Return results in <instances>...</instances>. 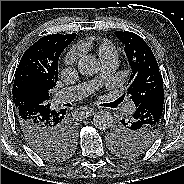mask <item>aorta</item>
<instances>
[{"instance_id":"1","label":"aorta","mask_w":184,"mask_h":184,"mask_svg":"<svg viewBox=\"0 0 184 184\" xmlns=\"http://www.w3.org/2000/svg\"><path fill=\"white\" fill-rule=\"evenodd\" d=\"M78 70L84 76H92L100 70V64L93 55L83 56L78 61ZM93 124L97 129L107 130L113 124V116L108 111H99L93 117Z\"/></svg>"}]
</instances>
